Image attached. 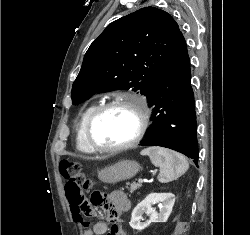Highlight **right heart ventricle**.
<instances>
[{"instance_id":"right-heart-ventricle-1","label":"right heart ventricle","mask_w":250,"mask_h":235,"mask_svg":"<svg viewBox=\"0 0 250 235\" xmlns=\"http://www.w3.org/2000/svg\"><path fill=\"white\" fill-rule=\"evenodd\" d=\"M98 106L97 103H91L84 108L81 112L79 119L77 121V128H76V147L77 149L85 154H92L94 151L88 146L85 137H84V128L85 124L91 115V113L96 109Z\"/></svg>"}]
</instances>
